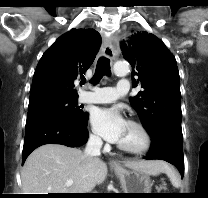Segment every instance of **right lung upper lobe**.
Listing matches in <instances>:
<instances>
[{
    "label": "right lung upper lobe",
    "mask_w": 208,
    "mask_h": 198,
    "mask_svg": "<svg viewBox=\"0 0 208 198\" xmlns=\"http://www.w3.org/2000/svg\"><path fill=\"white\" fill-rule=\"evenodd\" d=\"M101 44L94 29H71L43 54L34 73L29 107L54 100L77 99L74 80L93 63Z\"/></svg>",
    "instance_id": "1"
}]
</instances>
